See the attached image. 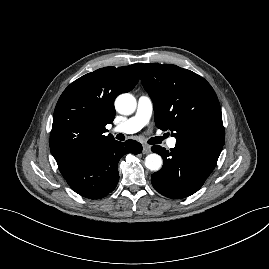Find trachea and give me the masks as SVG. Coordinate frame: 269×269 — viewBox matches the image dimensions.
<instances>
[{
    "instance_id": "trachea-1",
    "label": "trachea",
    "mask_w": 269,
    "mask_h": 269,
    "mask_svg": "<svg viewBox=\"0 0 269 269\" xmlns=\"http://www.w3.org/2000/svg\"><path fill=\"white\" fill-rule=\"evenodd\" d=\"M164 139V137H156L149 140V143L151 144H159Z\"/></svg>"
}]
</instances>
